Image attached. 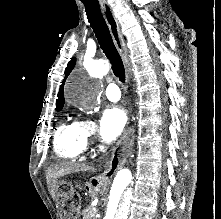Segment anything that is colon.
<instances>
[{"instance_id":"5ec220e1","label":"colon","mask_w":221,"mask_h":219,"mask_svg":"<svg viewBox=\"0 0 221 219\" xmlns=\"http://www.w3.org/2000/svg\"><path fill=\"white\" fill-rule=\"evenodd\" d=\"M62 192H63V199L67 209L69 211H72L73 208L78 203V198H79L78 193L66 186L62 187Z\"/></svg>"}]
</instances>
